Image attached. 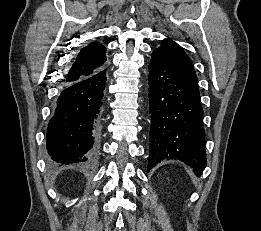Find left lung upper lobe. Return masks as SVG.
Wrapping results in <instances>:
<instances>
[{
  "mask_svg": "<svg viewBox=\"0 0 261 231\" xmlns=\"http://www.w3.org/2000/svg\"><path fill=\"white\" fill-rule=\"evenodd\" d=\"M152 54L160 57L176 73L197 85V76L193 65L178 44L171 40H164L163 44Z\"/></svg>",
  "mask_w": 261,
  "mask_h": 231,
  "instance_id": "1",
  "label": "left lung upper lobe"
}]
</instances>
